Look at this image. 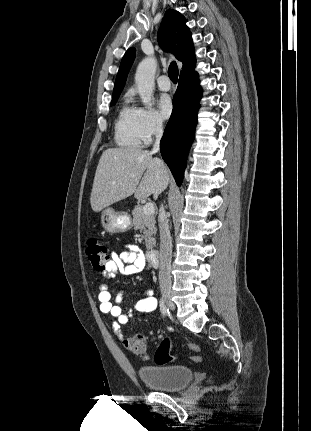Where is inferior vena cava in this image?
<instances>
[{
    "label": "inferior vena cava",
    "instance_id": "inferior-vena-cava-1",
    "mask_svg": "<svg viewBox=\"0 0 311 431\" xmlns=\"http://www.w3.org/2000/svg\"><path fill=\"white\" fill-rule=\"evenodd\" d=\"M163 134V126L161 120L157 122L155 128V142L151 150V154H157L160 150V140ZM159 231H160V263H159V283L161 292L167 295L172 291L171 286V255H172V239L168 221L165 216L163 204L159 208Z\"/></svg>",
    "mask_w": 311,
    "mask_h": 431
}]
</instances>
